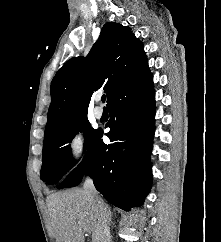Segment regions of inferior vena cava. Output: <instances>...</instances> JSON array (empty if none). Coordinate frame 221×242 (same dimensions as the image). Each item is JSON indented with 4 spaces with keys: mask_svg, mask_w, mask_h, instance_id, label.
Instances as JSON below:
<instances>
[{
    "mask_svg": "<svg viewBox=\"0 0 221 242\" xmlns=\"http://www.w3.org/2000/svg\"><path fill=\"white\" fill-rule=\"evenodd\" d=\"M84 191L96 218L94 242H111L109 210L98 195L93 180L90 177L85 179Z\"/></svg>",
    "mask_w": 221,
    "mask_h": 242,
    "instance_id": "602c4592",
    "label": "inferior vena cava"
}]
</instances>
